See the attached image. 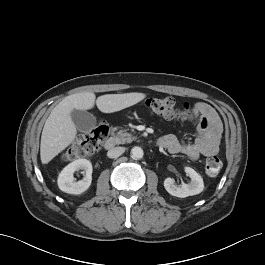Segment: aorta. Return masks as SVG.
I'll list each match as a JSON object with an SVG mask.
<instances>
[{"mask_svg": "<svg viewBox=\"0 0 265 265\" xmlns=\"http://www.w3.org/2000/svg\"><path fill=\"white\" fill-rule=\"evenodd\" d=\"M144 155L143 149L141 147L135 146L131 149V156L134 159H141Z\"/></svg>", "mask_w": 265, "mask_h": 265, "instance_id": "aorta-1", "label": "aorta"}]
</instances>
